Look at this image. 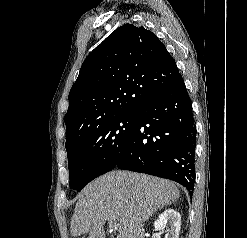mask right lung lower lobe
<instances>
[{
    "mask_svg": "<svg viewBox=\"0 0 247 238\" xmlns=\"http://www.w3.org/2000/svg\"><path fill=\"white\" fill-rule=\"evenodd\" d=\"M196 130L191 99L179 74L163 94L137 112V122L114 167L178 182L192 194Z\"/></svg>",
    "mask_w": 247,
    "mask_h": 238,
    "instance_id": "right-lung-lower-lobe-1",
    "label": "right lung lower lobe"
}]
</instances>
